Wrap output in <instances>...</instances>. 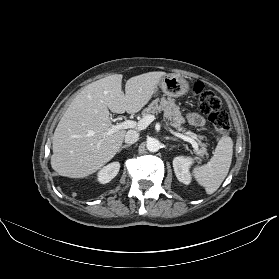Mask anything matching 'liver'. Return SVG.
<instances>
[{"label": "liver", "instance_id": "6515ba94", "mask_svg": "<svg viewBox=\"0 0 279 279\" xmlns=\"http://www.w3.org/2000/svg\"><path fill=\"white\" fill-rule=\"evenodd\" d=\"M165 72H148L127 80L121 74L86 86L71 102L52 137V168L61 176L84 178L109 162L120 149L126 131L108 135L113 113L139 112L156 93Z\"/></svg>", "mask_w": 279, "mask_h": 279}]
</instances>
